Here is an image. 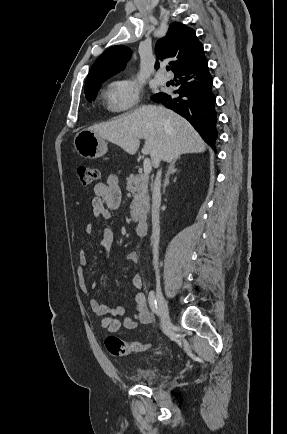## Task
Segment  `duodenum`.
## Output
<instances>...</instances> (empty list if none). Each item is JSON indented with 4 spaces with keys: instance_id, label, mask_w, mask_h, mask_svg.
I'll list each match as a JSON object with an SVG mask.
<instances>
[{
    "instance_id": "duodenum-1",
    "label": "duodenum",
    "mask_w": 287,
    "mask_h": 434,
    "mask_svg": "<svg viewBox=\"0 0 287 434\" xmlns=\"http://www.w3.org/2000/svg\"><path fill=\"white\" fill-rule=\"evenodd\" d=\"M148 232V222L146 219H141L138 221L136 226V235L137 237H145Z\"/></svg>"
}]
</instances>
